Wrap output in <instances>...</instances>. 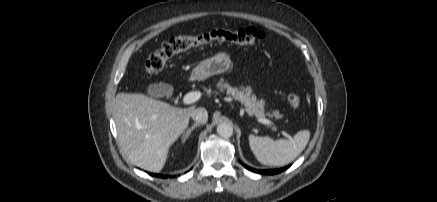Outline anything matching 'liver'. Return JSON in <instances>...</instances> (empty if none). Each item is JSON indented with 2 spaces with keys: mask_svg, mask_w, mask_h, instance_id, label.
I'll return each mask as SVG.
<instances>
[{
  "mask_svg": "<svg viewBox=\"0 0 437 202\" xmlns=\"http://www.w3.org/2000/svg\"><path fill=\"white\" fill-rule=\"evenodd\" d=\"M195 105L173 107L139 93H118L113 114L122 152L138 167L159 172L170 146L189 124Z\"/></svg>",
  "mask_w": 437,
  "mask_h": 202,
  "instance_id": "6515ba94",
  "label": "liver"
}]
</instances>
